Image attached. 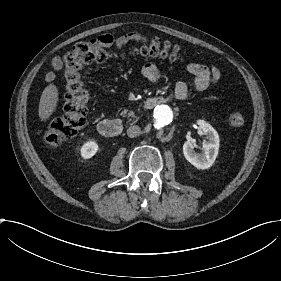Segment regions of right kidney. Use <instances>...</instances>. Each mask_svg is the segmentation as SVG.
I'll return each mask as SVG.
<instances>
[{
  "label": "right kidney",
  "instance_id": "ca27d5eb",
  "mask_svg": "<svg viewBox=\"0 0 281 281\" xmlns=\"http://www.w3.org/2000/svg\"><path fill=\"white\" fill-rule=\"evenodd\" d=\"M80 151L82 158L89 159L98 151V144L95 141H88L83 144Z\"/></svg>",
  "mask_w": 281,
  "mask_h": 281
}]
</instances>
